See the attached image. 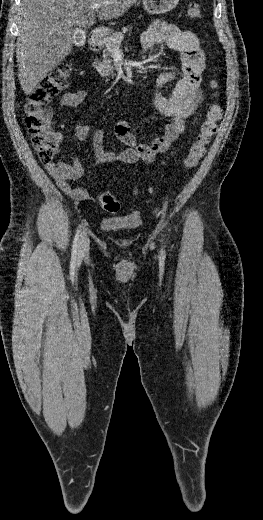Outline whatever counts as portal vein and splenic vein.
<instances>
[{
    "label": "portal vein and splenic vein",
    "instance_id": "portal-vein-and-splenic-vein-1",
    "mask_svg": "<svg viewBox=\"0 0 263 520\" xmlns=\"http://www.w3.org/2000/svg\"><path fill=\"white\" fill-rule=\"evenodd\" d=\"M100 7H101V3H96V4L93 5L92 8L95 9V10H97V9H99Z\"/></svg>",
    "mask_w": 263,
    "mask_h": 520
}]
</instances>
